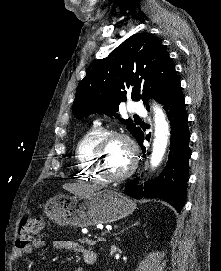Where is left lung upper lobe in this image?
Segmentation results:
<instances>
[{
	"mask_svg": "<svg viewBox=\"0 0 221 271\" xmlns=\"http://www.w3.org/2000/svg\"><path fill=\"white\" fill-rule=\"evenodd\" d=\"M178 82L175 67L161 42L152 35L137 33L100 60L80 81L73 114L76 118L96 112L119 117L118 106L127 97L142 99L145 104L149 97L161 102ZM118 119L135 138L138 136L141 129L131 119Z\"/></svg>",
	"mask_w": 221,
	"mask_h": 271,
	"instance_id": "5c2ea615",
	"label": "left lung upper lobe"
}]
</instances>
